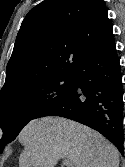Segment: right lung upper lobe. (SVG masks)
<instances>
[{
  "instance_id": "cb5924a9",
  "label": "right lung upper lobe",
  "mask_w": 125,
  "mask_h": 167,
  "mask_svg": "<svg viewBox=\"0 0 125 167\" xmlns=\"http://www.w3.org/2000/svg\"><path fill=\"white\" fill-rule=\"evenodd\" d=\"M112 27L103 0H45L18 32L0 98L74 72L91 46Z\"/></svg>"
}]
</instances>
